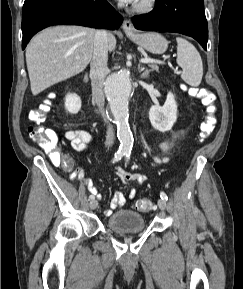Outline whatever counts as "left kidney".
<instances>
[{
  "instance_id": "obj_1",
  "label": "left kidney",
  "mask_w": 243,
  "mask_h": 289,
  "mask_svg": "<svg viewBox=\"0 0 243 289\" xmlns=\"http://www.w3.org/2000/svg\"><path fill=\"white\" fill-rule=\"evenodd\" d=\"M149 120L152 126L160 132L171 130L177 120V104L174 95L169 92L165 104L153 105L149 110Z\"/></svg>"
}]
</instances>
